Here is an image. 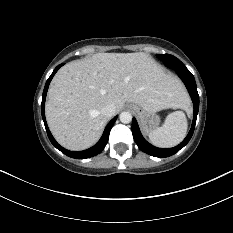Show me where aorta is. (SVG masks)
Listing matches in <instances>:
<instances>
[{
  "mask_svg": "<svg viewBox=\"0 0 233 233\" xmlns=\"http://www.w3.org/2000/svg\"><path fill=\"white\" fill-rule=\"evenodd\" d=\"M119 118L122 123L128 124L132 121V114L130 112L124 111L121 112Z\"/></svg>",
  "mask_w": 233,
  "mask_h": 233,
  "instance_id": "762f6f07",
  "label": "aorta"
}]
</instances>
